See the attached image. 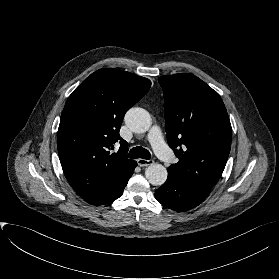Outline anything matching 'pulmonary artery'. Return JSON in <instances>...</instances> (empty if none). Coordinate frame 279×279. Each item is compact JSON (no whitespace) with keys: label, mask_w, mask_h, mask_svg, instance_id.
I'll return each mask as SVG.
<instances>
[{"label":"pulmonary artery","mask_w":279,"mask_h":279,"mask_svg":"<svg viewBox=\"0 0 279 279\" xmlns=\"http://www.w3.org/2000/svg\"><path fill=\"white\" fill-rule=\"evenodd\" d=\"M148 140L155 153L164 161L173 160V154L163 140L161 130L158 126H153L149 132Z\"/></svg>","instance_id":"pulmonary-artery-1"}]
</instances>
